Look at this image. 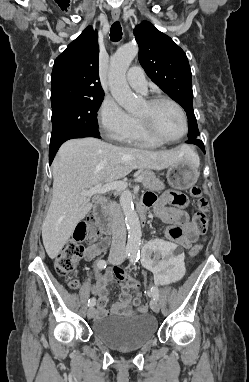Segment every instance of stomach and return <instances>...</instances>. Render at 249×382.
Instances as JSON below:
<instances>
[{
    "label": "stomach",
    "mask_w": 249,
    "mask_h": 382,
    "mask_svg": "<svg viewBox=\"0 0 249 382\" xmlns=\"http://www.w3.org/2000/svg\"><path fill=\"white\" fill-rule=\"evenodd\" d=\"M198 167L199 163L196 158H184L177 161L168 168V183L178 190L192 187L199 178Z\"/></svg>",
    "instance_id": "1"
}]
</instances>
